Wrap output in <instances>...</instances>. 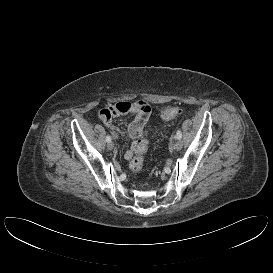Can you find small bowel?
Listing matches in <instances>:
<instances>
[{
	"label": "small bowel",
	"instance_id": "small-bowel-1",
	"mask_svg": "<svg viewBox=\"0 0 273 273\" xmlns=\"http://www.w3.org/2000/svg\"><path fill=\"white\" fill-rule=\"evenodd\" d=\"M152 111L150 104L144 101H137L134 103L122 101L113 105L107 106L100 110L98 117L107 126L110 127L112 135L118 138L121 133L113 124V117L121 114H134L135 118L128 127L129 137L133 140L131 148L126 151L125 159L130 160L134 154L137 144V139L143 132L144 125Z\"/></svg>",
	"mask_w": 273,
	"mask_h": 273
}]
</instances>
